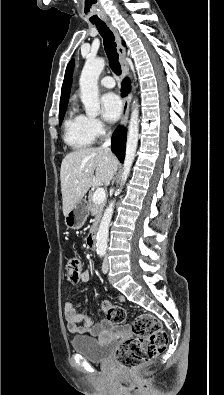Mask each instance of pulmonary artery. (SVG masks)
I'll return each mask as SVG.
<instances>
[{
  "instance_id": "e3ab8cb5",
  "label": "pulmonary artery",
  "mask_w": 224,
  "mask_h": 395,
  "mask_svg": "<svg viewBox=\"0 0 224 395\" xmlns=\"http://www.w3.org/2000/svg\"><path fill=\"white\" fill-rule=\"evenodd\" d=\"M101 85L105 88H113L115 86V80L111 76H105L100 81Z\"/></svg>"
}]
</instances>
